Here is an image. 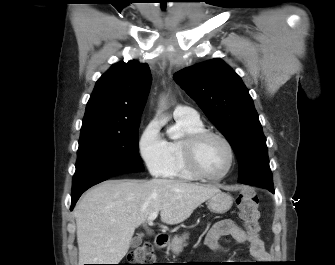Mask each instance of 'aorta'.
<instances>
[{
  "label": "aorta",
  "instance_id": "aorta-1",
  "mask_svg": "<svg viewBox=\"0 0 335 265\" xmlns=\"http://www.w3.org/2000/svg\"><path fill=\"white\" fill-rule=\"evenodd\" d=\"M167 135L169 136V138L171 139H177L179 138V133L177 132V130L170 128L167 130Z\"/></svg>",
  "mask_w": 335,
  "mask_h": 265
}]
</instances>
